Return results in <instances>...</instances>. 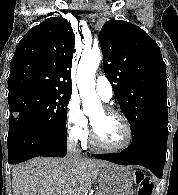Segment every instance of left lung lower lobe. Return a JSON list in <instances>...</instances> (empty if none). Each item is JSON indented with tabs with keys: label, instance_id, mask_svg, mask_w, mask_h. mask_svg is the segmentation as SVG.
Returning <instances> with one entry per match:
<instances>
[{
	"label": "left lung lower lobe",
	"instance_id": "1",
	"mask_svg": "<svg viewBox=\"0 0 178 195\" xmlns=\"http://www.w3.org/2000/svg\"><path fill=\"white\" fill-rule=\"evenodd\" d=\"M167 138L168 132L148 135L132 141L128 148L118 154H96L95 157L120 165H141L161 178L166 160Z\"/></svg>",
	"mask_w": 178,
	"mask_h": 195
}]
</instances>
